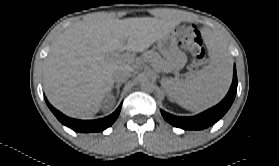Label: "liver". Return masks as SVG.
Segmentation results:
<instances>
[{
    "label": "liver",
    "mask_w": 279,
    "mask_h": 166,
    "mask_svg": "<svg viewBox=\"0 0 279 166\" xmlns=\"http://www.w3.org/2000/svg\"><path fill=\"white\" fill-rule=\"evenodd\" d=\"M175 12L162 18L118 19L96 13L68 27L45 61L44 87L50 103L68 116L87 119L96 114L114 85V73L128 62L112 61L114 51L141 53L178 24Z\"/></svg>",
    "instance_id": "obj_1"
}]
</instances>
